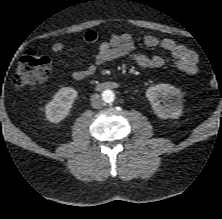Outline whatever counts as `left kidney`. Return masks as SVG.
I'll use <instances>...</instances> for the list:
<instances>
[{
	"instance_id": "1",
	"label": "left kidney",
	"mask_w": 222,
	"mask_h": 219,
	"mask_svg": "<svg viewBox=\"0 0 222 219\" xmlns=\"http://www.w3.org/2000/svg\"><path fill=\"white\" fill-rule=\"evenodd\" d=\"M146 97L154 113L162 119H176L182 113L181 92L170 84H158L149 87L146 91Z\"/></svg>"
}]
</instances>
